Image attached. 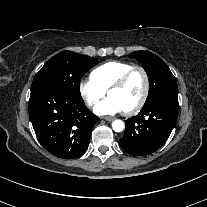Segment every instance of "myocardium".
Instances as JSON below:
<instances>
[{"instance_id":"myocardium-1","label":"myocardium","mask_w":207,"mask_h":207,"mask_svg":"<svg viewBox=\"0 0 207 207\" xmlns=\"http://www.w3.org/2000/svg\"><path fill=\"white\" fill-rule=\"evenodd\" d=\"M137 72L141 73L143 76L144 91H143L141 98L138 100V102L131 108L124 111L126 115H133L137 113L139 110H141L149 96L150 78H149L147 71L141 66H133L131 69L125 72L122 76H120L114 83H112L110 87L108 88V93H109L113 89H119L123 87L127 83V81L130 79V77Z\"/></svg>"}]
</instances>
